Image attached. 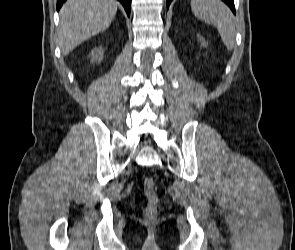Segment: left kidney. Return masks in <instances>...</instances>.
I'll use <instances>...</instances> for the list:
<instances>
[{"instance_id": "1", "label": "left kidney", "mask_w": 295, "mask_h": 250, "mask_svg": "<svg viewBox=\"0 0 295 250\" xmlns=\"http://www.w3.org/2000/svg\"><path fill=\"white\" fill-rule=\"evenodd\" d=\"M197 37L201 43V47H207V43H206L205 39L203 37H201L200 35H197Z\"/></svg>"}]
</instances>
